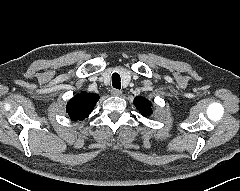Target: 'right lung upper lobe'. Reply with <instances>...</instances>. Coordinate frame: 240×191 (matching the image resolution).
<instances>
[{
  "instance_id": "cb5924a9",
  "label": "right lung upper lobe",
  "mask_w": 240,
  "mask_h": 191,
  "mask_svg": "<svg viewBox=\"0 0 240 191\" xmlns=\"http://www.w3.org/2000/svg\"><path fill=\"white\" fill-rule=\"evenodd\" d=\"M98 100L97 94L81 92L67 103V114L72 120H83L93 111Z\"/></svg>"
}]
</instances>
